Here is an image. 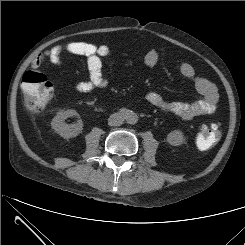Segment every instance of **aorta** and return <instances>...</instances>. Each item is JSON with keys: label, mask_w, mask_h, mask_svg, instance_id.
I'll return each mask as SVG.
<instances>
[{"label": "aorta", "mask_w": 245, "mask_h": 245, "mask_svg": "<svg viewBox=\"0 0 245 245\" xmlns=\"http://www.w3.org/2000/svg\"><path fill=\"white\" fill-rule=\"evenodd\" d=\"M125 119H126L127 123H129V124H136L138 121V115L136 113H134L133 111H130L125 116Z\"/></svg>", "instance_id": "1"}]
</instances>
